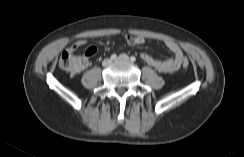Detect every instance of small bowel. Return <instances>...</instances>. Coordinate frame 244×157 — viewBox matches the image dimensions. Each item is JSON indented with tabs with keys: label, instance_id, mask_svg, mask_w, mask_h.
Here are the masks:
<instances>
[{
	"label": "small bowel",
	"instance_id": "1",
	"mask_svg": "<svg viewBox=\"0 0 244 157\" xmlns=\"http://www.w3.org/2000/svg\"><path fill=\"white\" fill-rule=\"evenodd\" d=\"M126 42L129 45H141L145 42V39L141 36H133V35H126L125 36ZM87 39L79 40L75 43V47H78L84 43H86ZM164 45L168 48V50L172 53V57L167 60H158L154 59L147 53H142L141 58L144 62L148 65L152 66L155 70L160 73H173L176 72L182 63L183 53L180 47L176 42L173 40H164ZM94 49V48H93ZM95 52V49H94Z\"/></svg>",
	"mask_w": 244,
	"mask_h": 157
}]
</instances>
